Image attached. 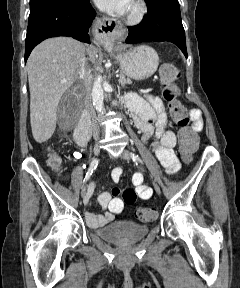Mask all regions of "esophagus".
<instances>
[{
	"mask_svg": "<svg viewBox=\"0 0 240 288\" xmlns=\"http://www.w3.org/2000/svg\"><path fill=\"white\" fill-rule=\"evenodd\" d=\"M119 22L114 19L104 17L98 19L95 25L96 40L103 46L113 45L115 31L119 29Z\"/></svg>",
	"mask_w": 240,
	"mask_h": 288,
	"instance_id": "34e87169",
	"label": "esophagus"
}]
</instances>
